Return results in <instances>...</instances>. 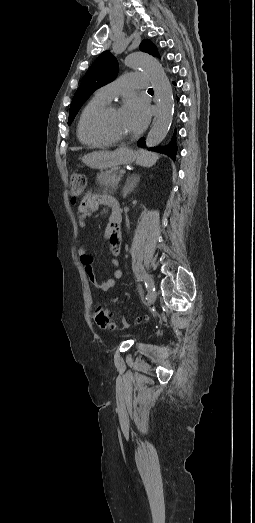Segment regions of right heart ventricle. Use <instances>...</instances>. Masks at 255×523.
Wrapping results in <instances>:
<instances>
[{
  "mask_svg": "<svg viewBox=\"0 0 255 523\" xmlns=\"http://www.w3.org/2000/svg\"><path fill=\"white\" fill-rule=\"evenodd\" d=\"M112 99L106 98L99 90L96 91L83 106L77 123V135L79 140L86 145H102L105 142L91 137L85 129V120L88 114L98 106L111 102Z\"/></svg>",
  "mask_w": 255,
  "mask_h": 523,
  "instance_id": "1",
  "label": "right heart ventricle"
}]
</instances>
